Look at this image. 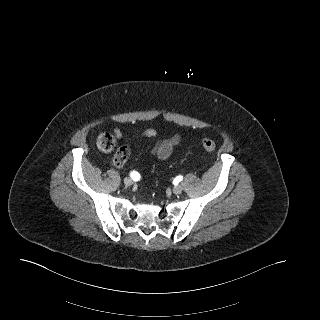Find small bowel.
<instances>
[{"instance_id": "small-bowel-1", "label": "small bowel", "mask_w": 320, "mask_h": 320, "mask_svg": "<svg viewBox=\"0 0 320 320\" xmlns=\"http://www.w3.org/2000/svg\"><path fill=\"white\" fill-rule=\"evenodd\" d=\"M114 136L117 139H122L123 138V132L120 128H114L113 129ZM157 135V131L153 128H149L144 130L140 136L142 137H147V138H153ZM181 142V136L180 135H174L170 138H166L163 140L158 141L154 148L152 149V154L156 156L160 160H166L169 159L175 149ZM127 149L126 147H123ZM129 152V150L127 149Z\"/></svg>"}]
</instances>
